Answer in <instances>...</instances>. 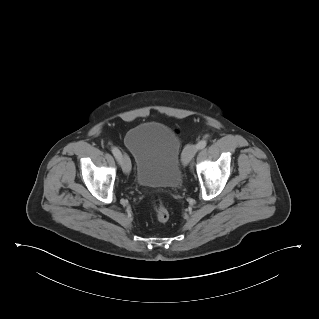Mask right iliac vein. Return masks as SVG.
<instances>
[{
	"label": "right iliac vein",
	"mask_w": 319,
	"mask_h": 319,
	"mask_svg": "<svg viewBox=\"0 0 319 319\" xmlns=\"http://www.w3.org/2000/svg\"><path fill=\"white\" fill-rule=\"evenodd\" d=\"M121 167L125 174H129L131 171V162L126 154L121 155Z\"/></svg>",
	"instance_id": "1"
}]
</instances>
